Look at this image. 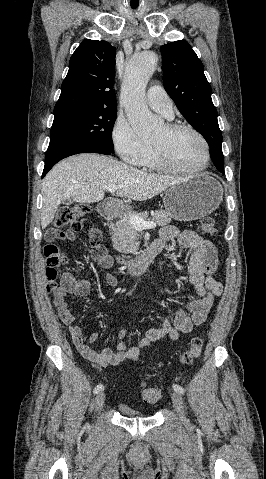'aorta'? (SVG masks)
Returning a JSON list of instances; mask_svg holds the SVG:
<instances>
[{"instance_id":"obj_1","label":"aorta","mask_w":266,"mask_h":479,"mask_svg":"<svg viewBox=\"0 0 266 479\" xmlns=\"http://www.w3.org/2000/svg\"><path fill=\"white\" fill-rule=\"evenodd\" d=\"M156 55L143 51L131 57L125 68V78L121 89V101L134 132L139 136H149L162 124L153 115L145 102V90L154 72Z\"/></svg>"}]
</instances>
